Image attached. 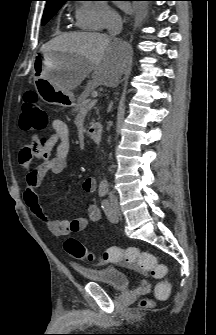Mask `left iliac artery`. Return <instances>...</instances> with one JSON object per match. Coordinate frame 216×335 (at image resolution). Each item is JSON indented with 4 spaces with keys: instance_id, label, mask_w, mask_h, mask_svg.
<instances>
[{
    "instance_id": "obj_1",
    "label": "left iliac artery",
    "mask_w": 216,
    "mask_h": 335,
    "mask_svg": "<svg viewBox=\"0 0 216 335\" xmlns=\"http://www.w3.org/2000/svg\"><path fill=\"white\" fill-rule=\"evenodd\" d=\"M101 207H102V209L104 210V212H105L107 218H108L110 221H113V219H114V214H113V211H112V209H111V206H110L108 200L104 199V200L102 201Z\"/></svg>"
}]
</instances>
